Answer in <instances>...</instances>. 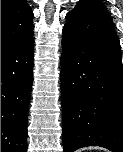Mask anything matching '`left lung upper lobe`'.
<instances>
[{
	"label": "left lung upper lobe",
	"mask_w": 123,
	"mask_h": 152,
	"mask_svg": "<svg viewBox=\"0 0 123 152\" xmlns=\"http://www.w3.org/2000/svg\"><path fill=\"white\" fill-rule=\"evenodd\" d=\"M80 2H82V1H80ZM80 2H79V3H80ZM89 2L93 3L94 5L99 6V7L102 8L103 10H105V6H104L101 2H98V1H89ZM105 11H106V10H105Z\"/></svg>",
	"instance_id": "1"
}]
</instances>
